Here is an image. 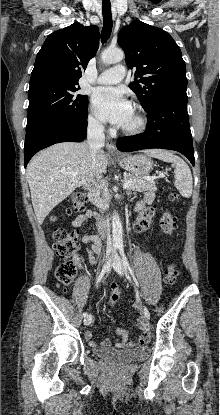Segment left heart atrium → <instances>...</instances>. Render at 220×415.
Returning a JSON list of instances; mask_svg holds the SVG:
<instances>
[{
  "instance_id": "obj_1",
  "label": "left heart atrium",
  "mask_w": 220,
  "mask_h": 415,
  "mask_svg": "<svg viewBox=\"0 0 220 415\" xmlns=\"http://www.w3.org/2000/svg\"><path fill=\"white\" fill-rule=\"evenodd\" d=\"M96 115L103 121L124 125L132 114L130 101L123 91L113 87L98 88L93 93Z\"/></svg>"
}]
</instances>
